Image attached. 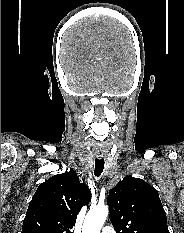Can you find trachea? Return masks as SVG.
<instances>
[{"label":"trachea","instance_id":"1","mask_svg":"<svg viewBox=\"0 0 184 233\" xmlns=\"http://www.w3.org/2000/svg\"><path fill=\"white\" fill-rule=\"evenodd\" d=\"M104 159L103 158H97L95 159V176L96 177H99L102 172H103V169H104Z\"/></svg>","mask_w":184,"mask_h":233}]
</instances>
